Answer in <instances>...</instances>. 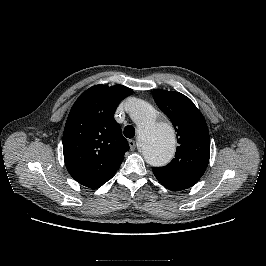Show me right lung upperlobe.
I'll return each instance as SVG.
<instances>
[{"label":"right lung upper lobe","mask_w":266,"mask_h":266,"mask_svg":"<svg viewBox=\"0 0 266 266\" xmlns=\"http://www.w3.org/2000/svg\"><path fill=\"white\" fill-rule=\"evenodd\" d=\"M132 92L123 85H95L72 106L63 134V152L68 172L80 184L99 188L120 167L129 145L114 113Z\"/></svg>","instance_id":"1"}]
</instances>
